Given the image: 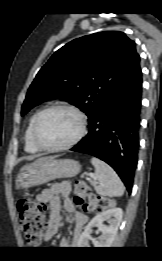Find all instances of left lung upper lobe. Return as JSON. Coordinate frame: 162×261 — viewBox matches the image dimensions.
<instances>
[{"instance_id":"obj_1","label":"left lung upper lobe","mask_w":162,"mask_h":261,"mask_svg":"<svg viewBox=\"0 0 162 261\" xmlns=\"http://www.w3.org/2000/svg\"><path fill=\"white\" fill-rule=\"evenodd\" d=\"M135 42L120 31L77 38L57 50L28 89L21 115L50 99L71 102L88 118L122 81L140 67Z\"/></svg>"}]
</instances>
